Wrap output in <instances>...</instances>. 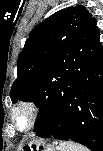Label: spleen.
I'll list each match as a JSON object with an SVG mask.
<instances>
[{
  "label": "spleen",
  "instance_id": "1",
  "mask_svg": "<svg viewBox=\"0 0 103 151\" xmlns=\"http://www.w3.org/2000/svg\"><path fill=\"white\" fill-rule=\"evenodd\" d=\"M59 151H89L88 148L71 141L60 142Z\"/></svg>",
  "mask_w": 103,
  "mask_h": 151
}]
</instances>
